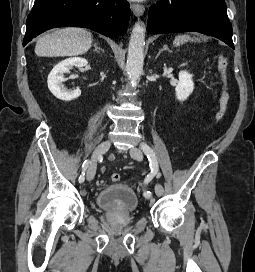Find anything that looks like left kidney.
Returning <instances> with one entry per match:
<instances>
[{"label": "left kidney", "instance_id": "left-kidney-1", "mask_svg": "<svg viewBox=\"0 0 255 272\" xmlns=\"http://www.w3.org/2000/svg\"><path fill=\"white\" fill-rule=\"evenodd\" d=\"M194 90L192 75L187 71L179 72V81L175 88L176 98L180 101L186 100Z\"/></svg>", "mask_w": 255, "mask_h": 272}]
</instances>
